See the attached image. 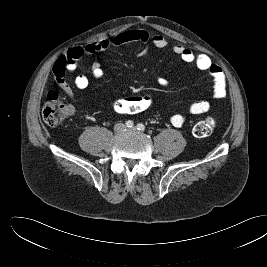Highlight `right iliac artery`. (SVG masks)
Listing matches in <instances>:
<instances>
[{
  "label": "right iliac artery",
  "instance_id": "82829eb1",
  "mask_svg": "<svg viewBox=\"0 0 267 267\" xmlns=\"http://www.w3.org/2000/svg\"><path fill=\"white\" fill-rule=\"evenodd\" d=\"M125 124H126V126H127L128 128H131V127H133V125H134L133 121H131V120L126 121Z\"/></svg>",
  "mask_w": 267,
  "mask_h": 267
}]
</instances>
